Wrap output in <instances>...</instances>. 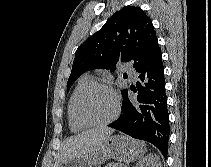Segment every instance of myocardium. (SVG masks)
<instances>
[{"mask_svg":"<svg viewBox=\"0 0 211 167\" xmlns=\"http://www.w3.org/2000/svg\"><path fill=\"white\" fill-rule=\"evenodd\" d=\"M103 88L105 90H107L113 97L114 100V112L113 114L104 121H91L88 120L86 118H84L79 110V104H80V100L82 98V96L90 89L92 88ZM120 113V99L118 94L116 93V91L112 88L111 85H109L106 82L103 81H99V80H91L89 81L86 85H84L80 91L77 93L75 100H74V104H73V114L75 119L85 125V126H92V127H101V126H106L109 125L110 123H112L113 121H115L118 117Z\"/></svg>","mask_w":211,"mask_h":167,"instance_id":"myocardium-1","label":"myocardium"}]
</instances>
